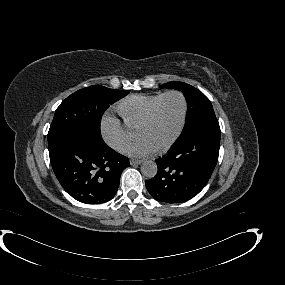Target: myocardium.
Wrapping results in <instances>:
<instances>
[{
    "mask_svg": "<svg viewBox=\"0 0 285 285\" xmlns=\"http://www.w3.org/2000/svg\"><path fill=\"white\" fill-rule=\"evenodd\" d=\"M168 96H177L180 98V100L182 101L183 104V111H182V116H181V120L179 123V126L176 130V132L174 133V135L172 136V138L166 142L163 145H160L157 147V150L162 152V151H166L167 149H169L171 146L174 145V143L179 139V137L181 136L183 129L185 127V123H186V118H187V113H188V103H187V99L185 98V96L177 91V90H171L168 92L163 93L160 98L155 102V104L153 105L150 113L148 114V116L141 122V124L138 126L137 129H140L142 127H145L147 125H149L153 119L156 116L157 110L159 105L161 104V102Z\"/></svg>",
    "mask_w": 285,
    "mask_h": 285,
    "instance_id": "f54148a6",
    "label": "myocardium"
}]
</instances>
